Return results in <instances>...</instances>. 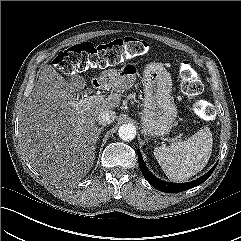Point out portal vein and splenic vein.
Masks as SVG:
<instances>
[{"instance_id":"portal-vein-and-splenic-vein-1","label":"portal vein and splenic vein","mask_w":241,"mask_h":241,"mask_svg":"<svg viewBox=\"0 0 241 241\" xmlns=\"http://www.w3.org/2000/svg\"><path fill=\"white\" fill-rule=\"evenodd\" d=\"M104 96L103 95H93V96H89V97H86L83 101H89V102H92V101H95V102H98V103H101V102H104Z\"/></svg>"}]
</instances>
